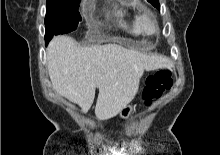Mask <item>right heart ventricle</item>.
Listing matches in <instances>:
<instances>
[{"instance_id": "1", "label": "right heart ventricle", "mask_w": 220, "mask_h": 155, "mask_svg": "<svg viewBox=\"0 0 220 155\" xmlns=\"http://www.w3.org/2000/svg\"><path fill=\"white\" fill-rule=\"evenodd\" d=\"M110 16L118 30L131 35H138L140 33L136 26V15L131 9L115 6L110 11Z\"/></svg>"}]
</instances>
